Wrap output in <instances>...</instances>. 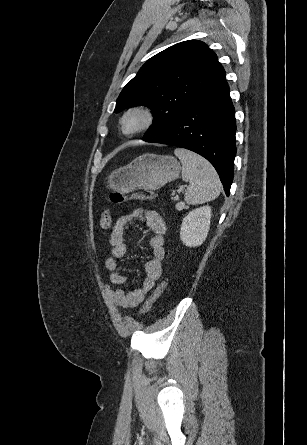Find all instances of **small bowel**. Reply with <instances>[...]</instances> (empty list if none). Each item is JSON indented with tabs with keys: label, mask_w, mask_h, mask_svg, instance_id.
Segmentation results:
<instances>
[{
	"label": "small bowel",
	"mask_w": 307,
	"mask_h": 445,
	"mask_svg": "<svg viewBox=\"0 0 307 445\" xmlns=\"http://www.w3.org/2000/svg\"><path fill=\"white\" fill-rule=\"evenodd\" d=\"M133 221L144 222L153 232L149 239V246L152 258L145 264L146 278L138 288L127 290L122 286L127 282L126 276L119 269V261L128 250L125 241V231L128 225ZM166 225L161 215L153 210L138 208L125 214L115 222L110 237L111 257L104 261V268L110 273L112 285L105 286V293L111 302L122 308H134L138 306L146 295L154 287L162 275V262L165 257V239Z\"/></svg>",
	"instance_id": "1"
}]
</instances>
